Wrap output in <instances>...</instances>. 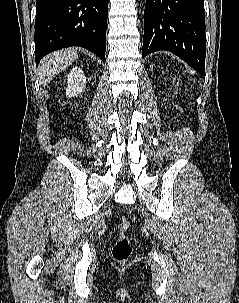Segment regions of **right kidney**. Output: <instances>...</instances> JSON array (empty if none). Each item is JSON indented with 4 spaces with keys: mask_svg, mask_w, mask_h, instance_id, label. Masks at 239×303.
<instances>
[{
    "mask_svg": "<svg viewBox=\"0 0 239 303\" xmlns=\"http://www.w3.org/2000/svg\"><path fill=\"white\" fill-rule=\"evenodd\" d=\"M67 77L68 86L66 88V96L74 97L81 94L86 83V77L82 69L77 66L73 67Z\"/></svg>",
    "mask_w": 239,
    "mask_h": 303,
    "instance_id": "right-kidney-1",
    "label": "right kidney"
}]
</instances>
